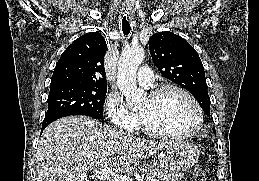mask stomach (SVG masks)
Masks as SVG:
<instances>
[{
	"instance_id": "stomach-1",
	"label": "stomach",
	"mask_w": 259,
	"mask_h": 181,
	"mask_svg": "<svg viewBox=\"0 0 259 181\" xmlns=\"http://www.w3.org/2000/svg\"><path fill=\"white\" fill-rule=\"evenodd\" d=\"M199 149L186 141H175L166 144L158 153L159 164L164 169L183 172L198 161Z\"/></svg>"
}]
</instances>
